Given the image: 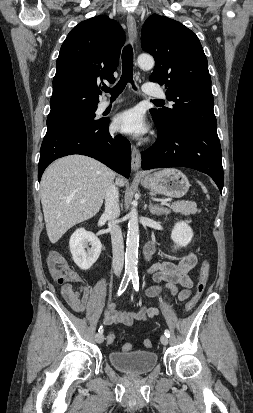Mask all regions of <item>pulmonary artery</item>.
<instances>
[{
    "label": "pulmonary artery",
    "instance_id": "pulmonary-artery-1",
    "mask_svg": "<svg viewBox=\"0 0 253 413\" xmlns=\"http://www.w3.org/2000/svg\"><path fill=\"white\" fill-rule=\"evenodd\" d=\"M143 92L152 97H164V92L161 88L151 84L146 83L143 85ZM120 102V100L110 101V100H102L98 105V111L102 112L106 110L108 107L116 105Z\"/></svg>",
    "mask_w": 253,
    "mask_h": 413
}]
</instances>
